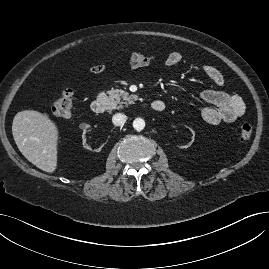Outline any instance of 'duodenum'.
Wrapping results in <instances>:
<instances>
[{
    "label": "duodenum",
    "instance_id": "obj_1",
    "mask_svg": "<svg viewBox=\"0 0 269 269\" xmlns=\"http://www.w3.org/2000/svg\"><path fill=\"white\" fill-rule=\"evenodd\" d=\"M107 107V98L105 96H99L91 104V110L95 114H101ZM151 108L156 113H161L165 110V102L163 100H154L151 103Z\"/></svg>",
    "mask_w": 269,
    "mask_h": 269
}]
</instances>
